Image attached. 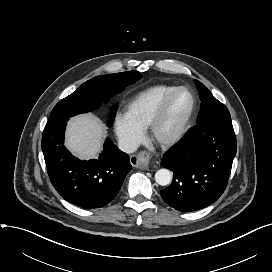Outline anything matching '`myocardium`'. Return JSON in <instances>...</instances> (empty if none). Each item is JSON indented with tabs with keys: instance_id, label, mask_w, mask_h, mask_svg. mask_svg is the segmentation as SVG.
<instances>
[{
	"instance_id": "obj_1",
	"label": "myocardium",
	"mask_w": 272,
	"mask_h": 272,
	"mask_svg": "<svg viewBox=\"0 0 272 272\" xmlns=\"http://www.w3.org/2000/svg\"><path fill=\"white\" fill-rule=\"evenodd\" d=\"M182 91L188 92L192 97V107L190 109V112L188 116L186 117V119L184 120V122L182 123L179 130L174 135L168 138H160L158 136V128L160 124L162 123V121L164 120L165 116L167 115L172 101L174 100L176 95ZM197 105H198L197 97L190 88L185 86L177 87L164 99V101L162 102V104L160 105V107L158 108L157 112L155 113V115L153 116L151 120L148 126L151 139L156 144L164 148L172 147L176 145L177 143H179L185 137V135L187 134V132L189 131L193 123V120L197 111Z\"/></svg>"
}]
</instances>
